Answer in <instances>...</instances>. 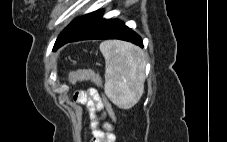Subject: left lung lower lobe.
I'll return each mask as SVG.
<instances>
[{
	"label": "left lung lower lobe",
	"mask_w": 227,
	"mask_h": 142,
	"mask_svg": "<svg viewBox=\"0 0 227 142\" xmlns=\"http://www.w3.org/2000/svg\"><path fill=\"white\" fill-rule=\"evenodd\" d=\"M97 39H120L143 47V42L139 35L125 26L122 21L117 19H103L102 12L64 44L71 41Z\"/></svg>",
	"instance_id": "1"
}]
</instances>
